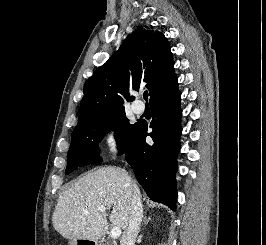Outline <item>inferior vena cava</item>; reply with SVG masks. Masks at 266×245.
<instances>
[{"label": "inferior vena cava", "mask_w": 266, "mask_h": 245, "mask_svg": "<svg viewBox=\"0 0 266 245\" xmlns=\"http://www.w3.org/2000/svg\"><path fill=\"white\" fill-rule=\"evenodd\" d=\"M130 193V221L124 231L120 245H134L135 239L140 231V223L143 217V207L141 205V193L137 185H130L128 189Z\"/></svg>", "instance_id": "1"}]
</instances>
